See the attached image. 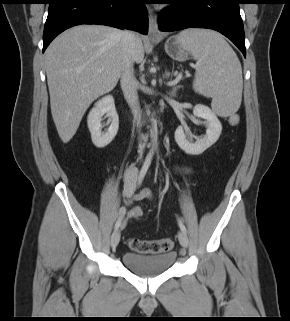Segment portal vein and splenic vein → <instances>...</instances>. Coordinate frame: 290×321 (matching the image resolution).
Returning <instances> with one entry per match:
<instances>
[{
  "mask_svg": "<svg viewBox=\"0 0 290 321\" xmlns=\"http://www.w3.org/2000/svg\"><path fill=\"white\" fill-rule=\"evenodd\" d=\"M180 79V77H178L172 84L177 83V81Z\"/></svg>",
  "mask_w": 290,
  "mask_h": 321,
  "instance_id": "1",
  "label": "portal vein and splenic vein"
}]
</instances>
